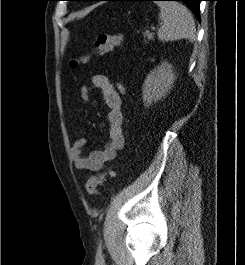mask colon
I'll use <instances>...</instances> for the list:
<instances>
[{
	"instance_id": "1",
	"label": "colon",
	"mask_w": 245,
	"mask_h": 265,
	"mask_svg": "<svg viewBox=\"0 0 245 265\" xmlns=\"http://www.w3.org/2000/svg\"><path fill=\"white\" fill-rule=\"evenodd\" d=\"M122 43L123 36L120 33L100 34L94 40L91 50L85 54L80 55L77 58L72 59L70 62V66L75 69L80 64L88 62L92 55H104L108 52H111L113 49L120 47ZM117 88L121 93L126 92V85L123 82L118 83ZM106 174L107 173H98L88 179L85 185L88 194H98V187L102 183Z\"/></svg>"
}]
</instances>
